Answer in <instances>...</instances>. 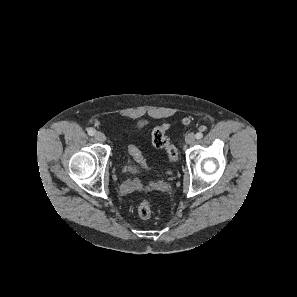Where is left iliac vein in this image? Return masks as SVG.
Masks as SVG:
<instances>
[{
  "label": "left iliac vein",
  "instance_id": "left-iliac-vein-1",
  "mask_svg": "<svg viewBox=\"0 0 297 297\" xmlns=\"http://www.w3.org/2000/svg\"><path fill=\"white\" fill-rule=\"evenodd\" d=\"M196 136L194 133H188L185 137V142L189 145L195 143Z\"/></svg>",
  "mask_w": 297,
  "mask_h": 297
}]
</instances>
